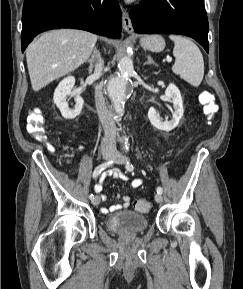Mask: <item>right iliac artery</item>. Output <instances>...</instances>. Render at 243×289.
Here are the masks:
<instances>
[{"label": "right iliac artery", "mask_w": 243, "mask_h": 289, "mask_svg": "<svg viewBox=\"0 0 243 289\" xmlns=\"http://www.w3.org/2000/svg\"><path fill=\"white\" fill-rule=\"evenodd\" d=\"M113 163H114L113 160H109V161L104 162V163L100 164L99 166H97V167L95 168L94 172H93V178L98 177V175H99L104 169H106L107 167L112 166ZM93 197H94V195H93V194H90L89 198L92 199Z\"/></svg>", "instance_id": "right-iliac-artery-1"}]
</instances>
